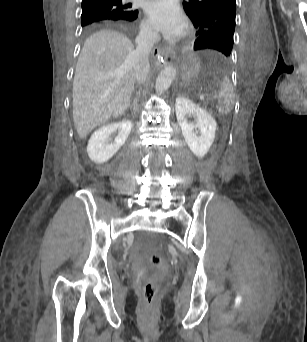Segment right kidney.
<instances>
[{
  "label": "right kidney",
  "instance_id": "ca27d5eb",
  "mask_svg": "<svg viewBox=\"0 0 307 342\" xmlns=\"http://www.w3.org/2000/svg\"><path fill=\"white\" fill-rule=\"evenodd\" d=\"M132 126L133 122H130V120H123V122L107 124V126H102V128L96 130V132L92 134L87 146V154L90 160L95 162V164H104V162H108V160L120 150L121 146L125 144L132 130ZM116 130H120V134L116 136L114 144H107L110 134L116 132Z\"/></svg>",
  "mask_w": 307,
  "mask_h": 342
}]
</instances>
